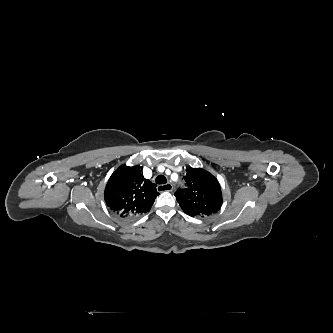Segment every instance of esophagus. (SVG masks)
Instances as JSON below:
<instances>
[{"mask_svg":"<svg viewBox=\"0 0 333 333\" xmlns=\"http://www.w3.org/2000/svg\"><path fill=\"white\" fill-rule=\"evenodd\" d=\"M158 191H172L173 190V185L171 183H167L165 185H159L157 187Z\"/></svg>","mask_w":333,"mask_h":333,"instance_id":"esophagus-1","label":"esophagus"}]
</instances>
